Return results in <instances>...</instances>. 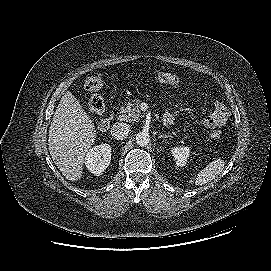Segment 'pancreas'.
<instances>
[{
	"label": "pancreas",
	"instance_id": "pancreas-1",
	"mask_svg": "<svg viewBox=\"0 0 271 271\" xmlns=\"http://www.w3.org/2000/svg\"><path fill=\"white\" fill-rule=\"evenodd\" d=\"M140 100H133L129 102L126 107H123L120 111V115L118 116V120L125 122H135L138 121L141 117L139 105Z\"/></svg>",
	"mask_w": 271,
	"mask_h": 271
}]
</instances>
